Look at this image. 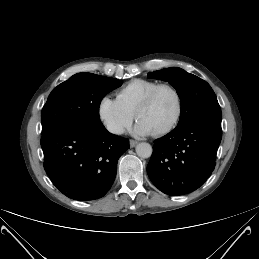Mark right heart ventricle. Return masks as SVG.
<instances>
[{
  "label": "right heart ventricle",
  "instance_id": "right-heart-ventricle-1",
  "mask_svg": "<svg viewBox=\"0 0 259 259\" xmlns=\"http://www.w3.org/2000/svg\"><path fill=\"white\" fill-rule=\"evenodd\" d=\"M159 83L149 79H133L126 83L117 93L116 100L121 106L133 115L145 96Z\"/></svg>",
  "mask_w": 259,
  "mask_h": 259
}]
</instances>
